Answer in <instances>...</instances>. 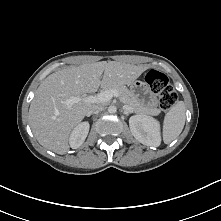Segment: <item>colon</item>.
<instances>
[{
    "instance_id": "5ec220e1",
    "label": "colon",
    "mask_w": 221,
    "mask_h": 221,
    "mask_svg": "<svg viewBox=\"0 0 221 221\" xmlns=\"http://www.w3.org/2000/svg\"><path fill=\"white\" fill-rule=\"evenodd\" d=\"M145 80L158 95V104L162 110L168 111L176 104L178 99L177 92L165 74L152 69L146 74Z\"/></svg>"
}]
</instances>
